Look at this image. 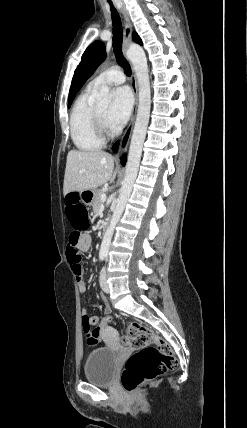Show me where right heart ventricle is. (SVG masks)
Masks as SVG:
<instances>
[{
	"mask_svg": "<svg viewBox=\"0 0 247 428\" xmlns=\"http://www.w3.org/2000/svg\"><path fill=\"white\" fill-rule=\"evenodd\" d=\"M94 88L87 87L75 101L70 115V133L74 145L82 151H94L102 147L104 139L93 123Z\"/></svg>",
	"mask_w": 247,
	"mask_h": 428,
	"instance_id": "right-heart-ventricle-1",
	"label": "right heart ventricle"
}]
</instances>
